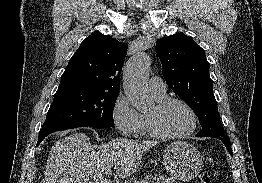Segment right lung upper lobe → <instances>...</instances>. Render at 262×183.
<instances>
[{"instance_id": "right-lung-upper-lobe-1", "label": "right lung upper lobe", "mask_w": 262, "mask_h": 183, "mask_svg": "<svg viewBox=\"0 0 262 183\" xmlns=\"http://www.w3.org/2000/svg\"><path fill=\"white\" fill-rule=\"evenodd\" d=\"M127 44L94 32L71 57L56 93L92 89L119 92Z\"/></svg>"}]
</instances>
